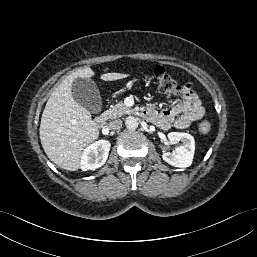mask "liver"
Returning a JSON list of instances; mask_svg holds the SVG:
<instances>
[{
    "label": "liver",
    "mask_w": 257,
    "mask_h": 257,
    "mask_svg": "<svg viewBox=\"0 0 257 257\" xmlns=\"http://www.w3.org/2000/svg\"><path fill=\"white\" fill-rule=\"evenodd\" d=\"M91 68L78 69L51 93L40 123V140L47 157L62 169L76 171L81 168L85 149L99 138V127L88 110L73 98L72 86L77 78L90 79ZM128 74L105 73L101 79L113 81Z\"/></svg>",
    "instance_id": "1"
}]
</instances>
